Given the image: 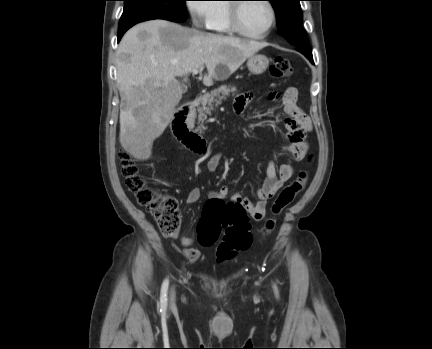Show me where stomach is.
<instances>
[{"instance_id": "1", "label": "stomach", "mask_w": 432, "mask_h": 349, "mask_svg": "<svg viewBox=\"0 0 432 349\" xmlns=\"http://www.w3.org/2000/svg\"><path fill=\"white\" fill-rule=\"evenodd\" d=\"M269 66V59L262 54H254L247 60V67L252 74H262Z\"/></svg>"}]
</instances>
